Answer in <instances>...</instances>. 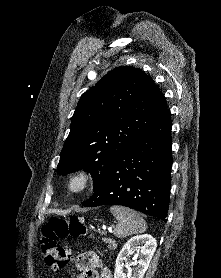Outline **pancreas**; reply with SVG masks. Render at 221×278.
<instances>
[{
    "mask_svg": "<svg viewBox=\"0 0 221 278\" xmlns=\"http://www.w3.org/2000/svg\"><path fill=\"white\" fill-rule=\"evenodd\" d=\"M103 241L108 244L107 247L109 249H115L116 248V241H114L110 238H103Z\"/></svg>",
    "mask_w": 221,
    "mask_h": 278,
    "instance_id": "pancreas-1",
    "label": "pancreas"
}]
</instances>
